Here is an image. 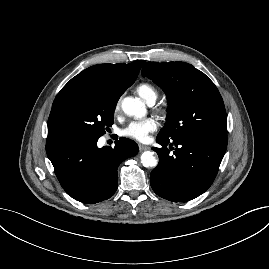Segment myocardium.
<instances>
[{"label":"myocardium","mask_w":269,"mask_h":269,"mask_svg":"<svg viewBox=\"0 0 269 269\" xmlns=\"http://www.w3.org/2000/svg\"><path fill=\"white\" fill-rule=\"evenodd\" d=\"M160 112H161V113H165L166 110H165V109H161Z\"/></svg>","instance_id":"f54148a6"}]
</instances>
